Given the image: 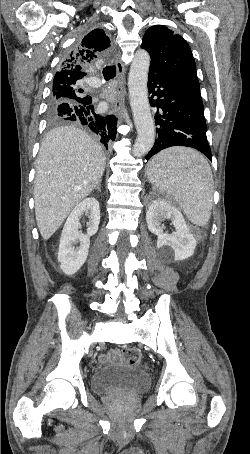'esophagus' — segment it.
I'll use <instances>...</instances> for the list:
<instances>
[{"mask_svg": "<svg viewBox=\"0 0 250 454\" xmlns=\"http://www.w3.org/2000/svg\"><path fill=\"white\" fill-rule=\"evenodd\" d=\"M117 67V98L112 103V110L115 114L122 111V101L125 96V66L122 63L120 56L115 61Z\"/></svg>", "mask_w": 250, "mask_h": 454, "instance_id": "obj_1", "label": "esophagus"}]
</instances>
